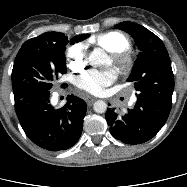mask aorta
Returning a JSON list of instances; mask_svg holds the SVG:
<instances>
[{"mask_svg":"<svg viewBox=\"0 0 187 187\" xmlns=\"http://www.w3.org/2000/svg\"><path fill=\"white\" fill-rule=\"evenodd\" d=\"M108 60V55L100 48H95L89 56V61L94 66H104L108 63ZM93 109L96 113H105L107 104L102 100H98L94 103Z\"/></svg>","mask_w":187,"mask_h":187,"instance_id":"aorta-1","label":"aorta"}]
</instances>
